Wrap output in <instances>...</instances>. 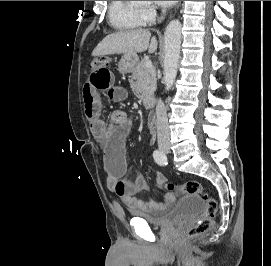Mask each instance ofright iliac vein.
Here are the masks:
<instances>
[{"mask_svg":"<svg viewBox=\"0 0 271 266\" xmlns=\"http://www.w3.org/2000/svg\"><path fill=\"white\" fill-rule=\"evenodd\" d=\"M159 148H160L162 151H168V150H169V143H167V142L161 143V144L159 145Z\"/></svg>","mask_w":271,"mask_h":266,"instance_id":"63e3f726","label":"right iliac vein"}]
</instances>
